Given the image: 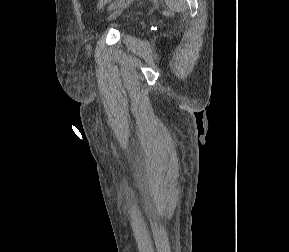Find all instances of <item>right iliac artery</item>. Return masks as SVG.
<instances>
[{
    "instance_id": "obj_1",
    "label": "right iliac artery",
    "mask_w": 289,
    "mask_h": 252,
    "mask_svg": "<svg viewBox=\"0 0 289 252\" xmlns=\"http://www.w3.org/2000/svg\"><path fill=\"white\" fill-rule=\"evenodd\" d=\"M123 2V0H117L116 2L112 3L110 6H109V10H113L115 8H117L121 3Z\"/></svg>"
}]
</instances>
